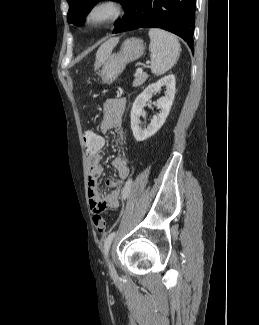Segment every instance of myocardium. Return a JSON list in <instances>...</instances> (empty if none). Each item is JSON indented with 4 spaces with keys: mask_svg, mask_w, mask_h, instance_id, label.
Returning a JSON list of instances; mask_svg holds the SVG:
<instances>
[{
    "mask_svg": "<svg viewBox=\"0 0 259 325\" xmlns=\"http://www.w3.org/2000/svg\"><path fill=\"white\" fill-rule=\"evenodd\" d=\"M106 9L105 16L97 17L98 11ZM124 5L121 0H95L89 4L84 14V22L90 28H101L121 17Z\"/></svg>",
    "mask_w": 259,
    "mask_h": 325,
    "instance_id": "myocardium-1",
    "label": "myocardium"
}]
</instances>
